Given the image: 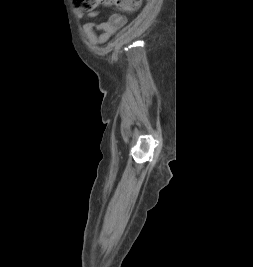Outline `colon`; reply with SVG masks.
Listing matches in <instances>:
<instances>
[{"mask_svg":"<svg viewBox=\"0 0 253 267\" xmlns=\"http://www.w3.org/2000/svg\"><path fill=\"white\" fill-rule=\"evenodd\" d=\"M77 10L88 12L99 7H111L119 12L136 10L140 6L139 0H73Z\"/></svg>","mask_w":253,"mask_h":267,"instance_id":"colon-1","label":"colon"}]
</instances>
